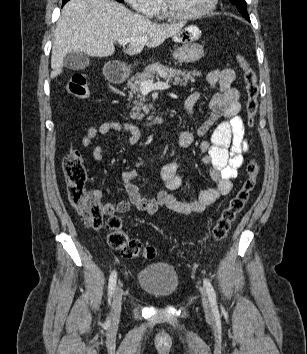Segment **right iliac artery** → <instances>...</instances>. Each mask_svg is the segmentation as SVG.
I'll return each instance as SVG.
<instances>
[{"instance_id": "82829eb1", "label": "right iliac artery", "mask_w": 307, "mask_h": 354, "mask_svg": "<svg viewBox=\"0 0 307 354\" xmlns=\"http://www.w3.org/2000/svg\"><path fill=\"white\" fill-rule=\"evenodd\" d=\"M116 279H117V273L116 271H113L111 274H110V277H109V284H108V296H109V300L111 299L113 293H114V290H115V287H116Z\"/></svg>"}]
</instances>
